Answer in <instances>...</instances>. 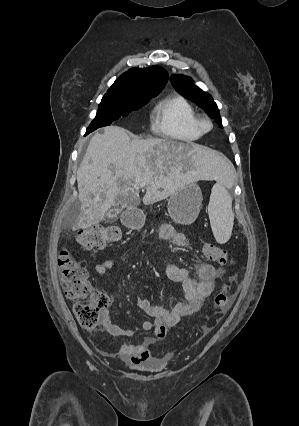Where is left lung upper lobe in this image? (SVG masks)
Wrapping results in <instances>:
<instances>
[{
	"mask_svg": "<svg viewBox=\"0 0 299 426\" xmlns=\"http://www.w3.org/2000/svg\"><path fill=\"white\" fill-rule=\"evenodd\" d=\"M170 80L178 93L198 104L222 127L219 109L210 94L193 85L191 79L183 75H173Z\"/></svg>",
	"mask_w": 299,
	"mask_h": 426,
	"instance_id": "left-lung-upper-lobe-1",
	"label": "left lung upper lobe"
}]
</instances>
